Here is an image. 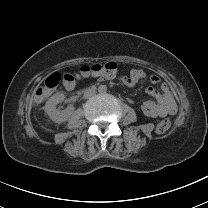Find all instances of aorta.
Segmentation results:
<instances>
[{
  "instance_id": "obj_1",
  "label": "aorta",
  "mask_w": 208,
  "mask_h": 208,
  "mask_svg": "<svg viewBox=\"0 0 208 208\" xmlns=\"http://www.w3.org/2000/svg\"><path fill=\"white\" fill-rule=\"evenodd\" d=\"M97 92L100 94V95H106L108 93V88L105 86V85H99L97 87Z\"/></svg>"
}]
</instances>
